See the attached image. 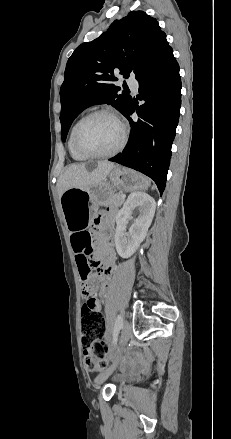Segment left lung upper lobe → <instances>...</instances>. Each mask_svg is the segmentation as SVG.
<instances>
[{
	"label": "left lung upper lobe",
	"instance_id": "1",
	"mask_svg": "<svg viewBox=\"0 0 231 439\" xmlns=\"http://www.w3.org/2000/svg\"><path fill=\"white\" fill-rule=\"evenodd\" d=\"M168 47L157 20L143 11L130 12L97 39L79 45L68 59L60 88L62 141L87 107L106 103L124 114L132 98L119 94L114 74L128 78L134 73L138 80Z\"/></svg>",
	"mask_w": 231,
	"mask_h": 439
}]
</instances>
